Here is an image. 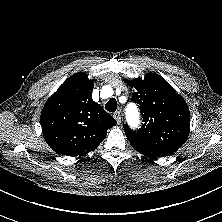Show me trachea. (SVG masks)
Instances as JSON below:
<instances>
[{
	"mask_svg": "<svg viewBox=\"0 0 222 222\" xmlns=\"http://www.w3.org/2000/svg\"><path fill=\"white\" fill-rule=\"evenodd\" d=\"M105 109L109 112H114L117 109V102L114 98H111L105 105Z\"/></svg>",
	"mask_w": 222,
	"mask_h": 222,
	"instance_id": "trachea-1",
	"label": "trachea"
}]
</instances>
